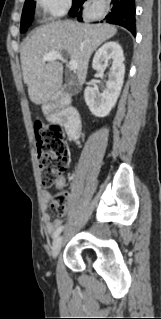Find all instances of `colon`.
Instances as JSON below:
<instances>
[{
  "instance_id": "colon-1",
  "label": "colon",
  "mask_w": 161,
  "mask_h": 319,
  "mask_svg": "<svg viewBox=\"0 0 161 319\" xmlns=\"http://www.w3.org/2000/svg\"><path fill=\"white\" fill-rule=\"evenodd\" d=\"M36 133L41 184L50 187L58 181L68 166V149L62 138V130L58 125H40ZM68 203V194L59 192L52 200V208L56 213L63 214Z\"/></svg>"
}]
</instances>
